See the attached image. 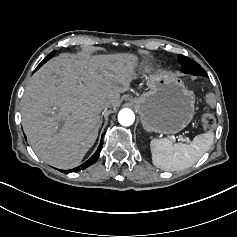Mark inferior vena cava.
<instances>
[{
	"mask_svg": "<svg viewBox=\"0 0 237 237\" xmlns=\"http://www.w3.org/2000/svg\"><path fill=\"white\" fill-rule=\"evenodd\" d=\"M99 105H100V107L101 108H103V109H105V108H107V107H110V105H111V102L109 101V100H101L100 102H99Z\"/></svg>",
	"mask_w": 237,
	"mask_h": 237,
	"instance_id": "602c4592",
	"label": "inferior vena cava"
}]
</instances>
